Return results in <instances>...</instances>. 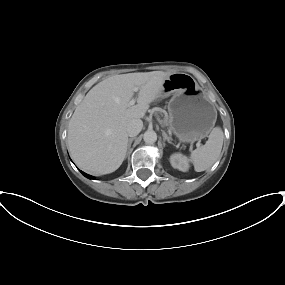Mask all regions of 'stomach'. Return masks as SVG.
Here are the masks:
<instances>
[{
  "label": "stomach",
  "mask_w": 285,
  "mask_h": 285,
  "mask_svg": "<svg viewBox=\"0 0 285 285\" xmlns=\"http://www.w3.org/2000/svg\"><path fill=\"white\" fill-rule=\"evenodd\" d=\"M172 96L168 103L169 125L183 143L205 138L215 125L217 111L208 95L186 73H173L164 83L159 97Z\"/></svg>",
  "instance_id": "1"
}]
</instances>
